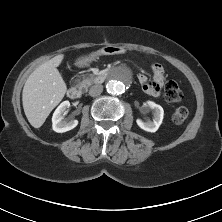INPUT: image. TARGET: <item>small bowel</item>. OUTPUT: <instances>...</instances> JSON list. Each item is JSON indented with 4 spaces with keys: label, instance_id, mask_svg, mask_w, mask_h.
<instances>
[{
    "label": "small bowel",
    "instance_id": "c3829d8e",
    "mask_svg": "<svg viewBox=\"0 0 222 222\" xmlns=\"http://www.w3.org/2000/svg\"><path fill=\"white\" fill-rule=\"evenodd\" d=\"M153 80L148 81L143 74L138 76L139 82L143 85V90L150 96H159L161 88L165 82V70L160 64H153L152 67Z\"/></svg>",
    "mask_w": 222,
    "mask_h": 222
}]
</instances>
